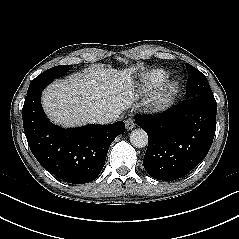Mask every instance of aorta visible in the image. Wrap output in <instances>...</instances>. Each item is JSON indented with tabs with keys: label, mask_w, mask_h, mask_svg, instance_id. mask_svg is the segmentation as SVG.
<instances>
[{
	"label": "aorta",
	"mask_w": 239,
	"mask_h": 239,
	"mask_svg": "<svg viewBox=\"0 0 239 239\" xmlns=\"http://www.w3.org/2000/svg\"><path fill=\"white\" fill-rule=\"evenodd\" d=\"M130 142L136 148L146 147L148 144V135L143 129H135L130 134Z\"/></svg>",
	"instance_id": "1"
}]
</instances>
